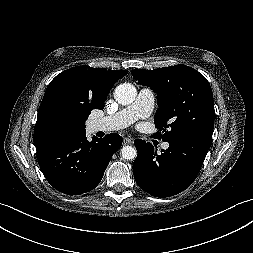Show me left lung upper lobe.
Listing matches in <instances>:
<instances>
[{
  "mask_svg": "<svg viewBox=\"0 0 253 253\" xmlns=\"http://www.w3.org/2000/svg\"><path fill=\"white\" fill-rule=\"evenodd\" d=\"M133 77L157 93L155 137L174 143L189 138L212 141L214 100L207 79L186 65L132 70Z\"/></svg>",
  "mask_w": 253,
  "mask_h": 253,
  "instance_id": "5c2ea615",
  "label": "left lung upper lobe"
}]
</instances>
